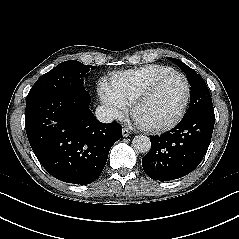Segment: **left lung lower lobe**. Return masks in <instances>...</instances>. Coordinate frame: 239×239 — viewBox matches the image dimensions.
I'll list each match as a JSON object with an SVG mask.
<instances>
[{
  "instance_id": "0a47b994",
  "label": "left lung lower lobe",
  "mask_w": 239,
  "mask_h": 239,
  "mask_svg": "<svg viewBox=\"0 0 239 239\" xmlns=\"http://www.w3.org/2000/svg\"><path fill=\"white\" fill-rule=\"evenodd\" d=\"M215 122L214 109L184 115L170 131L151 136V149L142 159L153 180L169 181L192 172L209 147Z\"/></svg>"
}]
</instances>
